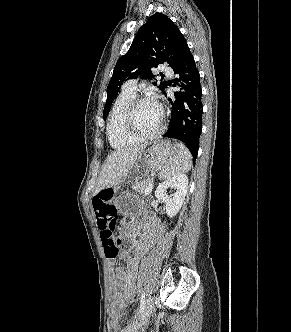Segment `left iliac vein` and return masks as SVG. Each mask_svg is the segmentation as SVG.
<instances>
[{
	"label": "left iliac vein",
	"instance_id": "1",
	"mask_svg": "<svg viewBox=\"0 0 291 332\" xmlns=\"http://www.w3.org/2000/svg\"><path fill=\"white\" fill-rule=\"evenodd\" d=\"M154 302V297L150 295L147 298L145 308L141 315L133 323L124 328L122 332H138V330L149 320L154 308Z\"/></svg>",
	"mask_w": 291,
	"mask_h": 332
}]
</instances>
